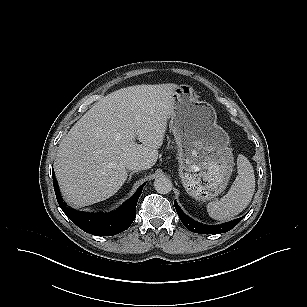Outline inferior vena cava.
<instances>
[{
    "label": "inferior vena cava",
    "instance_id": "1",
    "mask_svg": "<svg viewBox=\"0 0 307 307\" xmlns=\"http://www.w3.org/2000/svg\"><path fill=\"white\" fill-rule=\"evenodd\" d=\"M125 166L128 170H131V171H139V170L145 169L144 163L140 161H136V160L128 161Z\"/></svg>",
    "mask_w": 307,
    "mask_h": 307
}]
</instances>
